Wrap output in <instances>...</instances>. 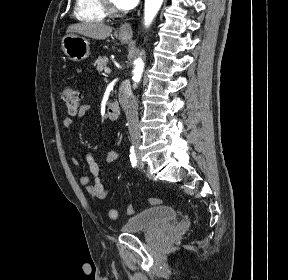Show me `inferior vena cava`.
<instances>
[{
  "label": "inferior vena cava",
  "instance_id": "obj_1",
  "mask_svg": "<svg viewBox=\"0 0 288 280\" xmlns=\"http://www.w3.org/2000/svg\"><path fill=\"white\" fill-rule=\"evenodd\" d=\"M119 90L118 104H121V110H125L130 141H132V143H143L142 125H140L138 113L139 105H135V101L137 100L135 93H130L129 78H122ZM139 156V152H132V157Z\"/></svg>",
  "mask_w": 288,
  "mask_h": 280
}]
</instances>
